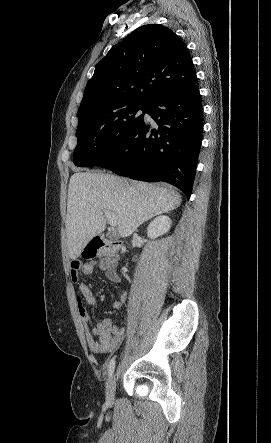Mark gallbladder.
Here are the masks:
<instances>
[{
    "instance_id": "1",
    "label": "gallbladder",
    "mask_w": 271,
    "mask_h": 443,
    "mask_svg": "<svg viewBox=\"0 0 271 443\" xmlns=\"http://www.w3.org/2000/svg\"><path fill=\"white\" fill-rule=\"evenodd\" d=\"M107 237H109V239H117L118 235L117 233H112V231H109V233H107Z\"/></svg>"
}]
</instances>
